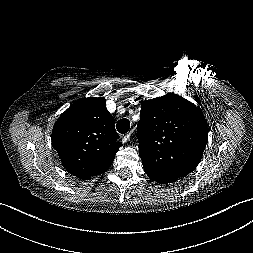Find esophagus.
Returning a JSON list of instances; mask_svg holds the SVG:
<instances>
[{"mask_svg":"<svg viewBox=\"0 0 253 253\" xmlns=\"http://www.w3.org/2000/svg\"><path fill=\"white\" fill-rule=\"evenodd\" d=\"M130 136H131V133L124 135L122 138V142L127 143L130 139Z\"/></svg>","mask_w":253,"mask_h":253,"instance_id":"1","label":"esophagus"}]
</instances>
